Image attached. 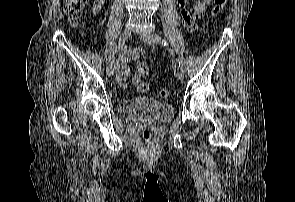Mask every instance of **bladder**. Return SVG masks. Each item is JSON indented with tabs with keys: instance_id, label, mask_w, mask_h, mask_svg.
<instances>
[{
	"instance_id": "1",
	"label": "bladder",
	"mask_w": 295,
	"mask_h": 202,
	"mask_svg": "<svg viewBox=\"0 0 295 202\" xmlns=\"http://www.w3.org/2000/svg\"><path fill=\"white\" fill-rule=\"evenodd\" d=\"M119 115L131 120L145 119L162 123L173 117L174 109L168 102L146 96L123 101L119 107Z\"/></svg>"
}]
</instances>
